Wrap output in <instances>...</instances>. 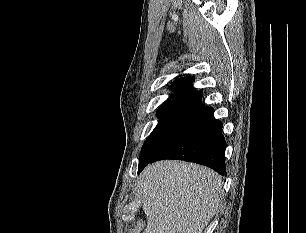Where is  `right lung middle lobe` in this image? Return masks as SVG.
<instances>
[{"label": "right lung middle lobe", "instance_id": "dd1d6c3e", "mask_svg": "<svg viewBox=\"0 0 306 233\" xmlns=\"http://www.w3.org/2000/svg\"><path fill=\"white\" fill-rule=\"evenodd\" d=\"M204 110L202 107L180 102L162 104L157 111L159 122L142 146L139 166L152 159Z\"/></svg>", "mask_w": 306, "mask_h": 233}]
</instances>
